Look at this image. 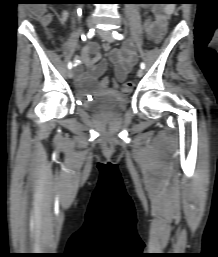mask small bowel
Masks as SVG:
<instances>
[{
  "instance_id": "obj_1",
  "label": "small bowel",
  "mask_w": 218,
  "mask_h": 257,
  "mask_svg": "<svg viewBox=\"0 0 218 257\" xmlns=\"http://www.w3.org/2000/svg\"><path fill=\"white\" fill-rule=\"evenodd\" d=\"M172 11V6L155 7L152 9V16H148L140 25L149 39H154V34H157L160 26H164V21L169 20ZM68 17L69 12H63L62 22H66ZM105 50L109 52L108 60L101 61L98 43L89 41L82 47L80 54L75 58L78 85L81 86L85 83L94 93L105 91L99 90L98 80L105 73L109 63L114 65L117 81L123 82L136 62L133 41L128 42L122 49L109 51V47L105 46Z\"/></svg>"
}]
</instances>
